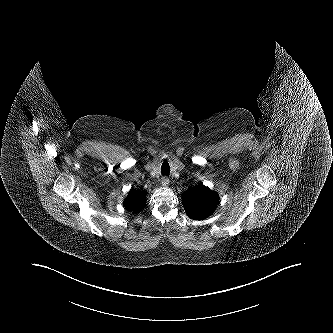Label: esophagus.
<instances>
[{
  "label": "esophagus",
  "instance_id": "1",
  "mask_svg": "<svg viewBox=\"0 0 333 333\" xmlns=\"http://www.w3.org/2000/svg\"><path fill=\"white\" fill-rule=\"evenodd\" d=\"M162 186H168L169 185V180L166 177H163L161 180Z\"/></svg>",
  "mask_w": 333,
  "mask_h": 333
}]
</instances>
